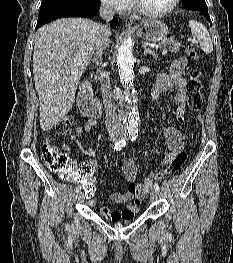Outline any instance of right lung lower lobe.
<instances>
[{
	"mask_svg": "<svg viewBox=\"0 0 233 263\" xmlns=\"http://www.w3.org/2000/svg\"><path fill=\"white\" fill-rule=\"evenodd\" d=\"M100 5H101L100 0H83L77 5L76 9L73 12H71L70 14L55 17V18H53L49 21L43 22V23H37L36 30L39 27L43 26L44 24L49 23V22H51L57 18H60V17H92V16L97 14V11H98ZM117 23H118L117 18H113L110 21V25L113 29H116Z\"/></svg>",
	"mask_w": 233,
	"mask_h": 263,
	"instance_id": "obj_1",
	"label": "right lung lower lobe"
}]
</instances>
